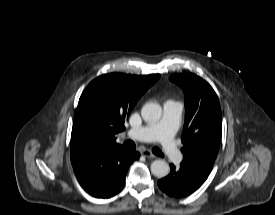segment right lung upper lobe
Here are the masks:
<instances>
[{"label": "right lung upper lobe", "mask_w": 275, "mask_h": 215, "mask_svg": "<svg viewBox=\"0 0 275 215\" xmlns=\"http://www.w3.org/2000/svg\"><path fill=\"white\" fill-rule=\"evenodd\" d=\"M159 77L111 73L94 79L82 93L74 115L71 163L95 150L121 146L115 135L125 130L126 117Z\"/></svg>", "instance_id": "obj_1"}]
</instances>
